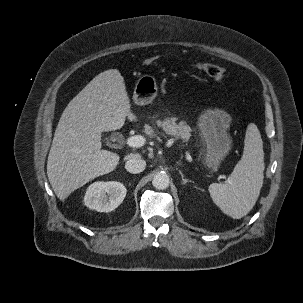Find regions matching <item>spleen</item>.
<instances>
[{
    "mask_svg": "<svg viewBox=\"0 0 303 303\" xmlns=\"http://www.w3.org/2000/svg\"><path fill=\"white\" fill-rule=\"evenodd\" d=\"M263 141L257 126L250 123L244 139V151L226 184L212 183L209 193L227 215L240 219L255 205L264 179Z\"/></svg>",
    "mask_w": 303,
    "mask_h": 303,
    "instance_id": "spleen-1",
    "label": "spleen"
}]
</instances>
